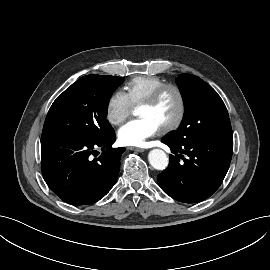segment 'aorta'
<instances>
[{"label":"aorta","mask_w":270,"mask_h":270,"mask_svg":"<svg viewBox=\"0 0 270 270\" xmlns=\"http://www.w3.org/2000/svg\"><path fill=\"white\" fill-rule=\"evenodd\" d=\"M150 165L157 170H164L168 166L169 159L166 153L161 149H153L148 154Z\"/></svg>","instance_id":"1"}]
</instances>
